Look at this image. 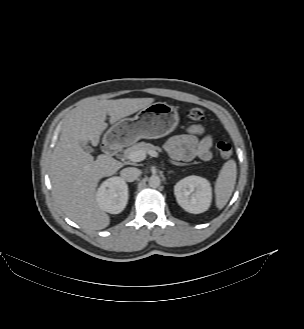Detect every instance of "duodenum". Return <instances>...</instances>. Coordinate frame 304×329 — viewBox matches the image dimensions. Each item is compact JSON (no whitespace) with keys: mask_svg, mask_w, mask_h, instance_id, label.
<instances>
[{"mask_svg":"<svg viewBox=\"0 0 304 329\" xmlns=\"http://www.w3.org/2000/svg\"><path fill=\"white\" fill-rule=\"evenodd\" d=\"M103 151L108 156L116 155L120 151V147L113 142L107 141L103 145Z\"/></svg>","mask_w":304,"mask_h":329,"instance_id":"obj_1","label":"duodenum"}]
</instances>
